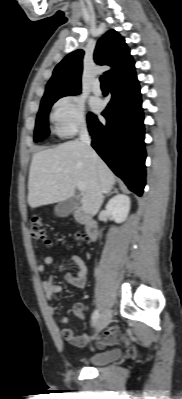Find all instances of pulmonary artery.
I'll use <instances>...</instances> for the list:
<instances>
[{"label":"pulmonary artery","mask_w":182,"mask_h":399,"mask_svg":"<svg viewBox=\"0 0 182 399\" xmlns=\"http://www.w3.org/2000/svg\"><path fill=\"white\" fill-rule=\"evenodd\" d=\"M92 91L95 95H98V96L102 94V89L100 86V82L98 80L94 81Z\"/></svg>","instance_id":"e3ab8cb5"}]
</instances>
